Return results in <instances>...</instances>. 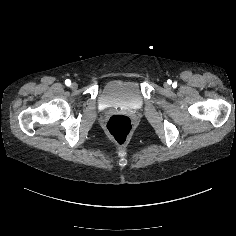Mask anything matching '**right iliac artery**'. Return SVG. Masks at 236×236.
I'll list each match as a JSON object with an SVG mask.
<instances>
[{
	"label": "right iliac artery",
	"instance_id": "right-iliac-artery-1",
	"mask_svg": "<svg viewBox=\"0 0 236 236\" xmlns=\"http://www.w3.org/2000/svg\"><path fill=\"white\" fill-rule=\"evenodd\" d=\"M65 84H66L67 86H70V85H71V81H70L69 79H66V80H65Z\"/></svg>",
	"mask_w": 236,
	"mask_h": 236
}]
</instances>
